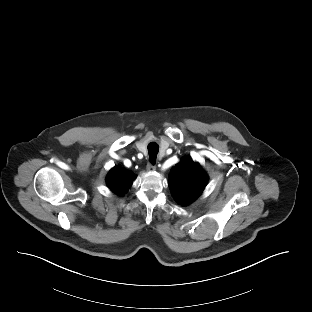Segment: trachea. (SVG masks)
I'll return each mask as SVG.
<instances>
[{
    "label": "trachea",
    "mask_w": 312,
    "mask_h": 312,
    "mask_svg": "<svg viewBox=\"0 0 312 312\" xmlns=\"http://www.w3.org/2000/svg\"><path fill=\"white\" fill-rule=\"evenodd\" d=\"M158 151H159V146L157 143L151 142L148 144L149 160L153 165L156 163Z\"/></svg>",
    "instance_id": "obj_1"
}]
</instances>
